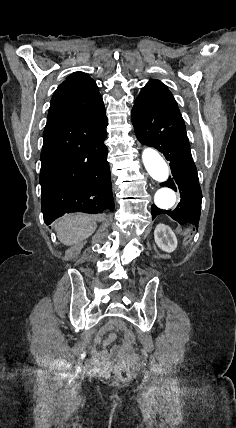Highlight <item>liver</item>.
Here are the masks:
<instances>
[{"mask_svg": "<svg viewBox=\"0 0 236 428\" xmlns=\"http://www.w3.org/2000/svg\"><path fill=\"white\" fill-rule=\"evenodd\" d=\"M96 228L97 224L94 222L93 216H88V214H78V216L70 214L55 224L57 238L64 246H74L78 242H83L94 234Z\"/></svg>", "mask_w": 236, "mask_h": 428, "instance_id": "1", "label": "liver"}]
</instances>
